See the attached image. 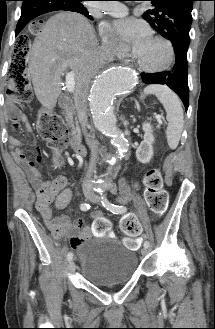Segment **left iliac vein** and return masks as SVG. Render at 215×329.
<instances>
[{"label":"left iliac vein","mask_w":215,"mask_h":329,"mask_svg":"<svg viewBox=\"0 0 215 329\" xmlns=\"http://www.w3.org/2000/svg\"><path fill=\"white\" fill-rule=\"evenodd\" d=\"M90 200L93 202V203H97V204H100L101 203V199L99 196L95 195V194H92ZM148 253V247H143L142 250H141V254L143 256L147 255Z\"/></svg>","instance_id":"4c4485c4"}]
</instances>
